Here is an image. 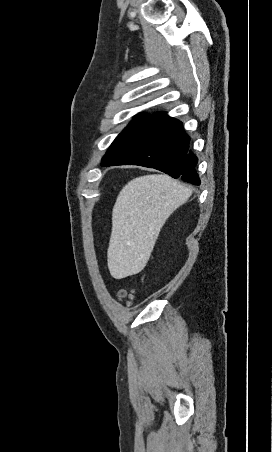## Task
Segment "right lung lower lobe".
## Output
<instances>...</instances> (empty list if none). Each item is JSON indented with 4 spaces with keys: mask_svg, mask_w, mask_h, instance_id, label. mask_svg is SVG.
I'll return each mask as SVG.
<instances>
[{
    "mask_svg": "<svg viewBox=\"0 0 272 452\" xmlns=\"http://www.w3.org/2000/svg\"><path fill=\"white\" fill-rule=\"evenodd\" d=\"M189 136L182 123L160 116L146 133L112 165H140L158 169L173 178L199 185L197 158L189 152Z\"/></svg>",
    "mask_w": 272,
    "mask_h": 452,
    "instance_id": "right-lung-lower-lobe-1",
    "label": "right lung lower lobe"
}]
</instances>
